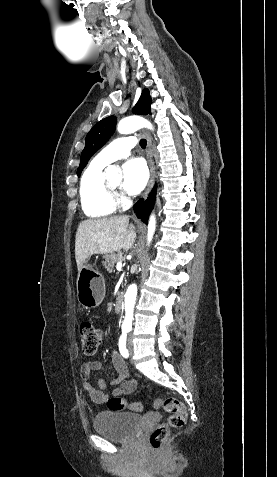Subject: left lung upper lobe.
<instances>
[{"instance_id":"1","label":"left lung upper lobe","mask_w":277,"mask_h":477,"mask_svg":"<svg viewBox=\"0 0 277 477\" xmlns=\"http://www.w3.org/2000/svg\"><path fill=\"white\" fill-rule=\"evenodd\" d=\"M152 100L148 89L142 91L141 97L135 107L133 113L135 114H149ZM116 126V117L109 116L102 119L94 125L86 136L85 148L81 153L80 165L77 169V175L80 176L82 170L86 166L91 156L99 150L111 137Z\"/></svg>"}]
</instances>
